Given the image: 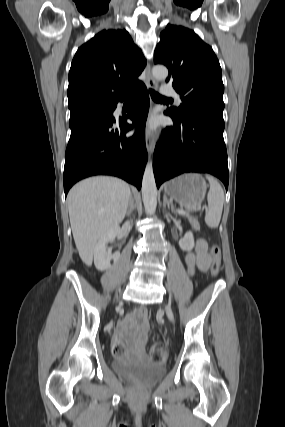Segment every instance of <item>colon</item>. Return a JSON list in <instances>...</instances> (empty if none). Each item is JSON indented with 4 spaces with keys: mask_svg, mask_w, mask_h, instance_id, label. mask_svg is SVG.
<instances>
[{
    "mask_svg": "<svg viewBox=\"0 0 285 427\" xmlns=\"http://www.w3.org/2000/svg\"><path fill=\"white\" fill-rule=\"evenodd\" d=\"M211 266L210 272L213 276H217L220 271L221 265V250L217 245L212 246L210 250ZM112 350L115 356L124 358L126 356V347L119 339H115L113 342ZM151 359L156 363H163L166 359V352L164 346L161 343H154L150 348Z\"/></svg>",
    "mask_w": 285,
    "mask_h": 427,
    "instance_id": "colon-1",
    "label": "colon"
}]
</instances>
